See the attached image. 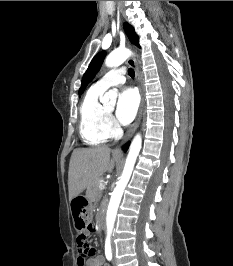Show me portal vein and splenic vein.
<instances>
[{"label":"portal vein and splenic vein","instance_id":"1","mask_svg":"<svg viewBox=\"0 0 233 266\" xmlns=\"http://www.w3.org/2000/svg\"><path fill=\"white\" fill-rule=\"evenodd\" d=\"M104 188H105V184H104V183H102V182H100V183H99V189H101V190H102V189H104Z\"/></svg>","mask_w":233,"mask_h":266}]
</instances>
